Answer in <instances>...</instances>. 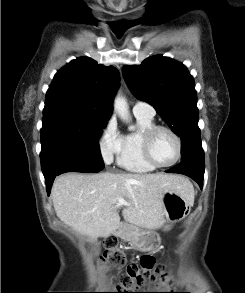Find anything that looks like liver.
<instances>
[{
	"instance_id": "1",
	"label": "liver",
	"mask_w": 245,
	"mask_h": 293,
	"mask_svg": "<svg viewBox=\"0 0 245 293\" xmlns=\"http://www.w3.org/2000/svg\"><path fill=\"white\" fill-rule=\"evenodd\" d=\"M176 190L193 203L194 193L182 176L156 174L68 173L56 178L51 196L57 217L89 237H108L121 227L117 198H123L124 219L144 229L164 224L163 193Z\"/></svg>"
}]
</instances>
